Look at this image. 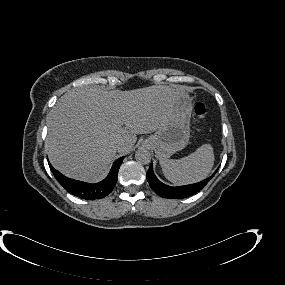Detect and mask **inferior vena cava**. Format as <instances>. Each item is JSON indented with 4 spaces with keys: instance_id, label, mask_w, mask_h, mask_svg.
I'll list each match as a JSON object with an SVG mask.
<instances>
[{
    "instance_id": "inferior-vena-cava-1",
    "label": "inferior vena cava",
    "mask_w": 285,
    "mask_h": 285,
    "mask_svg": "<svg viewBox=\"0 0 285 285\" xmlns=\"http://www.w3.org/2000/svg\"><path fill=\"white\" fill-rule=\"evenodd\" d=\"M123 146V143H118L117 144V148L119 149V148H121Z\"/></svg>"
}]
</instances>
